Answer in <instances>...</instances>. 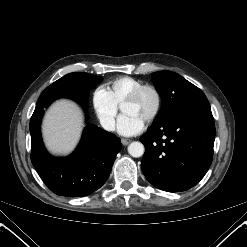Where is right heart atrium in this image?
Masks as SVG:
<instances>
[{
  "label": "right heart atrium",
  "instance_id": "right-heart-atrium-1",
  "mask_svg": "<svg viewBox=\"0 0 247 247\" xmlns=\"http://www.w3.org/2000/svg\"><path fill=\"white\" fill-rule=\"evenodd\" d=\"M93 107L101 126L106 131H113L119 106L108 89L99 87L95 90L93 94Z\"/></svg>",
  "mask_w": 247,
  "mask_h": 247
}]
</instances>
